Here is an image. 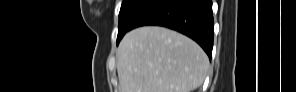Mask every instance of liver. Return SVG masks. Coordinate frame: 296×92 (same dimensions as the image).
<instances>
[{
	"label": "liver",
	"instance_id": "liver-1",
	"mask_svg": "<svg viewBox=\"0 0 296 92\" xmlns=\"http://www.w3.org/2000/svg\"><path fill=\"white\" fill-rule=\"evenodd\" d=\"M116 56L120 92H192L209 69V59L196 42L157 26L128 32Z\"/></svg>",
	"mask_w": 296,
	"mask_h": 92
}]
</instances>
